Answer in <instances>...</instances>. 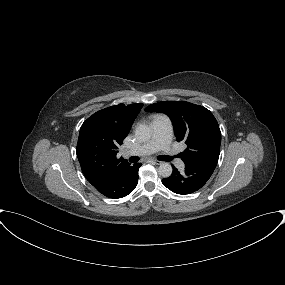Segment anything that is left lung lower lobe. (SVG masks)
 I'll return each instance as SVG.
<instances>
[{"mask_svg": "<svg viewBox=\"0 0 285 285\" xmlns=\"http://www.w3.org/2000/svg\"><path fill=\"white\" fill-rule=\"evenodd\" d=\"M217 163L197 162L185 165V171L180 173L172 165L173 172L170 177L162 179L165 187L176 194L186 195L199 190L205 185Z\"/></svg>", "mask_w": 285, "mask_h": 285, "instance_id": "0a47b994", "label": "left lung lower lobe"}]
</instances>
